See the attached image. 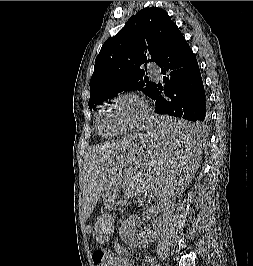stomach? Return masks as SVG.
Masks as SVG:
<instances>
[{
  "instance_id": "0dacf381",
  "label": "stomach",
  "mask_w": 253,
  "mask_h": 266,
  "mask_svg": "<svg viewBox=\"0 0 253 266\" xmlns=\"http://www.w3.org/2000/svg\"><path fill=\"white\" fill-rule=\"evenodd\" d=\"M161 136L139 135L134 137L126 146L116 154L106 165L105 181L107 188L113 193H118V186L123 184V177L130 176L132 169L128 168L129 160H141L138 151L145 150L146 145H151L152 138ZM98 237V235H96Z\"/></svg>"
}]
</instances>
